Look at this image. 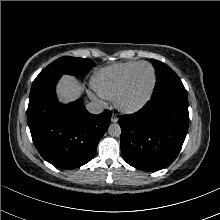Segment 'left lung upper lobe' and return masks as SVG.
I'll list each match as a JSON object with an SVG mask.
<instances>
[{
	"mask_svg": "<svg viewBox=\"0 0 220 220\" xmlns=\"http://www.w3.org/2000/svg\"><path fill=\"white\" fill-rule=\"evenodd\" d=\"M151 62L156 71V84L151 99L172 98L188 103L187 91L177 74L165 63L155 59Z\"/></svg>",
	"mask_w": 220,
	"mask_h": 220,
	"instance_id": "5c2ea615",
	"label": "left lung upper lobe"
}]
</instances>
